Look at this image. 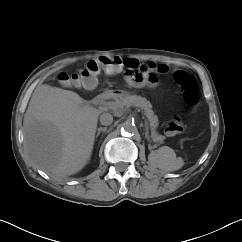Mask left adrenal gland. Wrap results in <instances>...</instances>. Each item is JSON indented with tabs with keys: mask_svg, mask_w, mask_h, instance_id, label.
Segmentation results:
<instances>
[{
	"mask_svg": "<svg viewBox=\"0 0 242 242\" xmlns=\"http://www.w3.org/2000/svg\"><path fill=\"white\" fill-rule=\"evenodd\" d=\"M146 138H148V128L146 127V135H145Z\"/></svg>",
	"mask_w": 242,
	"mask_h": 242,
	"instance_id": "left-adrenal-gland-1",
	"label": "left adrenal gland"
}]
</instances>
